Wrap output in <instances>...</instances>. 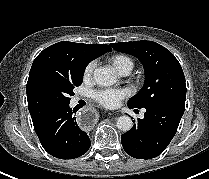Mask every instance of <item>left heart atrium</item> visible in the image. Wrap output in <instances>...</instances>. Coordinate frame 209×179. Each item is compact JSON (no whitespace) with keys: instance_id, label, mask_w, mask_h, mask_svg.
Returning <instances> with one entry per match:
<instances>
[{"instance_id":"left-heart-atrium-1","label":"left heart atrium","mask_w":209,"mask_h":179,"mask_svg":"<svg viewBox=\"0 0 209 179\" xmlns=\"http://www.w3.org/2000/svg\"><path fill=\"white\" fill-rule=\"evenodd\" d=\"M130 95L127 88H106L95 90L92 93L93 99L106 108H115L120 102Z\"/></svg>"}]
</instances>
